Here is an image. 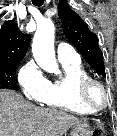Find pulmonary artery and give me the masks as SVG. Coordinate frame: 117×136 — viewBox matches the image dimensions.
Instances as JSON below:
<instances>
[{
  "mask_svg": "<svg viewBox=\"0 0 117 136\" xmlns=\"http://www.w3.org/2000/svg\"><path fill=\"white\" fill-rule=\"evenodd\" d=\"M57 57L60 62L80 61L79 55L67 43H59L57 46Z\"/></svg>",
  "mask_w": 117,
  "mask_h": 136,
  "instance_id": "pulmonary-artery-1",
  "label": "pulmonary artery"
}]
</instances>
